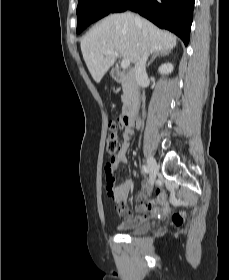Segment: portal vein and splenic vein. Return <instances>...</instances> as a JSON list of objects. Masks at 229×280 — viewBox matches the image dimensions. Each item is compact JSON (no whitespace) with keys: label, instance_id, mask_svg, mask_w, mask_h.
Listing matches in <instances>:
<instances>
[{"label":"portal vein and splenic vein","instance_id":"18ae733b","mask_svg":"<svg viewBox=\"0 0 229 280\" xmlns=\"http://www.w3.org/2000/svg\"><path fill=\"white\" fill-rule=\"evenodd\" d=\"M103 55H112L115 57H119V53L114 50L105 51V52H103ZM129 66H130V61L128 59H123L121 62V67L123 69H127Z\"/></svg>","mask_w":229,"mask_h":280}]
</instances>
